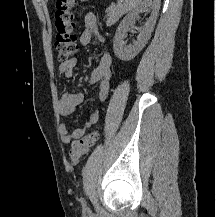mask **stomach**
<instances>
[{"label":"stomach","instance_id":"obj_1","mask_svg":"<svg viewBox=\"0 0 216 217\" xmlns=\"http://www.w3.org/2000/svg\"><path fill=\"white\" fill-rule=\"evenodd\" d=\"M81 2H85V1H88V0H80Z\"/></svg>","mask_w":216,"mask_h":217}]
</instances>
